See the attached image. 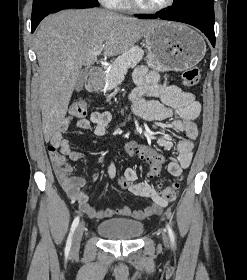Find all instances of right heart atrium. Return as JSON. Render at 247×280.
<instances>
[{"label": "right heart atrium", "mask_w": 247, "mask_h": 280, "mask_svg": "<svg viewBox=\"0 0 247 280\" xmlns=\"http://www.w3.org/2000/svg\"><path fill=\"white\" fill-rule=\"evenodd\" d=\"M103 5L108 7H114L117 5L119 0H99Z\"/></svg>", "instance_id": "d8ad5b80"}]
</instances>
